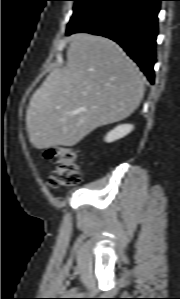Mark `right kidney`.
Here are the masks:
<instances>
[{
  "mask_svg": "<svg viewBox=\"0 0 180 299\" xmlns=\"http://www.w3.org/2000/svg\"><path fill=\"white\" fill-rule=\"evenodd\" d=\"M133 128V125L130 124L119 125L106 135L105 141L107 143H111L120 138H123L124 136L128 135L133 130Z\"/></svg>",
  "mask_w": 180,
  "mask_h": 299,
  "instance_id": "right-kidney-1",
  "label": "right kidney"
}]
</instances>
